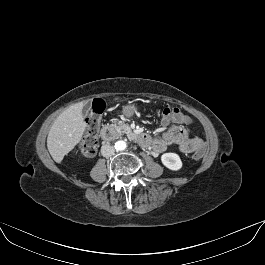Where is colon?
Returning <instances> with one entry per match:
<instances>
[{
  "mask_svg": "<svg viewBox=\"0 0 265 265\" xmlns=\"http://www.w3.org/2000/svg\"><path fill=\"white\" fill-rule=\"evenodd\" d=\"M104 112V104L101 101H96L92 110L86 119V133L80 143L79 152L84 158H91L98 148V132L101 125L102 114ZM163 117L173 118L179 122L187 123L188 116L177 107H166L159 110ZM203 157V151L198 150L193 154V158L199 160Z\"/></svg>",
  "mask_w": 265,
  "mask_h": 265,
  "instance_id": "colon-1",
  "label": "colon"
}]
</instances>
